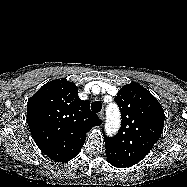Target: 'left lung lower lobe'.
<instances>
[{"label":"left lung lower lobe","instance_id":"left-lung-lower-lobe-1","mask_svg":"<svg viewBox=\"0 0 187 187\" xmlns=\"http://www.w3.org/2000/svg\"><path fill=\"white\" fill-rule=\"evenodd\" d=\"M105 148H106L107 160L114 167L126 168V167H130L136 164V162L119 155L118 153L109 149L108 147H105Z\"/></svg>","mask_w":187,"mask_h":187}]
</instances>
